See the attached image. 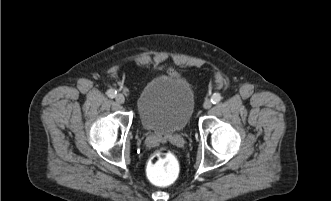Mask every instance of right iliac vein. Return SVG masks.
Segmentation results:
<instances>
[{
  "mask_svg": "<svg viewBox=\"0 0 331 201\" xmlns=\"http://www.w3.org/2000/svg\"><path fill=\"white\" fill-rule=\"evenodd\" d=\"M115 100L118 104H123L125 102V97L122 94H117Z\"/></svg>",
  "mask_w": 331,
  "mask_h": 201,
  "instance_id": "63e3f726",
  "label": "right iliac vein"
}]
</instances>
